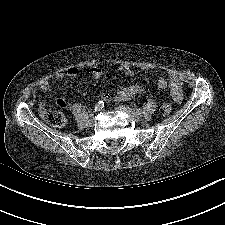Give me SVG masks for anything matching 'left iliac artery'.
Instances as JSON below:
<instances>
[{"label":"left iliac artery","instance_id":"1","mask_svg":"<svg viewBox=\"0 0 225 225\" xmlns=\"http://www.w3.org/2000/svg\"><path fill=\"white\" fill-rule=\"evenodd\" d=\"M131 111L133 112V113H136V114H139V115H141L142 113L144 114L145 112L144 111H142V109H138V108H134V109H131Z\"/></svg>","mask_w":225,"mask_h":225}]
</instances>
